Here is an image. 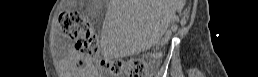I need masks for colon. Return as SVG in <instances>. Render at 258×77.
I'll use <instances>...</instances> for the list:
<instances>
[{
    "instance_id": "5ec220e1",
    "label": "colon",
    "mask_w": 258,
    "mask_h": 77,
    "mask_svg": "<svg viewBox=\"0 0 258 77\" xmlns=\"http://www.w3.org/2000/svg\"><path fill=\"white\" fill-rule=\"evenodd\" d=\"M60 26L65 37L75 40L76 52L82 57L96 59L102 70L119 73L126 68L130 77H145L152 68V65L141 58H130L127 62L99 58L97 35L91 24L83 20L77 12L64 13L60 19Z\"/></svg>"
}]
</instances>
